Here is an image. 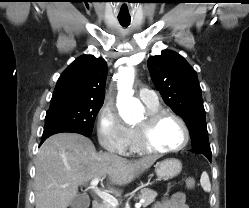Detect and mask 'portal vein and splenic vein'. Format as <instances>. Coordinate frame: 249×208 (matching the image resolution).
Listing matches in <instances>:
<instances>
[{"instance_id": "18ae733b", "label": "portal vein and splenic vein", "mask_w": 249, "mask_h": 208, "mask_svg": "<svg viewBox=\"0 0 249 208\" xmlns=\"http://www.w3.org/2000/svg\"><path fill=\"white\" fill-rule=\"evenodd\" d=\"M100 179L95 178L90 182V188L100 197L104 202L110 204L113 207H116L118 205V200L110 195L109 193L103 192L100 189H98L97 185L99 183ZM144 200H141L139 203L135 204V208H140Z\"/></svg>"}]
</instances>
